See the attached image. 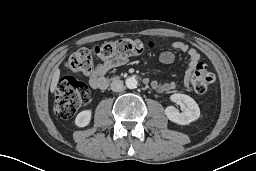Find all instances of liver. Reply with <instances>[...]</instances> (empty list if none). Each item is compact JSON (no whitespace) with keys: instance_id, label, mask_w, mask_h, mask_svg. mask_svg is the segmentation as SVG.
<instances>
[{"instance_id":"obj_1","label":"liver","mask_w":256,"mask_h":171,"mask_svg":"<svg viewBox=\"0 0 256 171\" xmlns=\"http://www.w3.org/2000/svg\"><path fill=\"white\" fill-rule=\"evenodd\" d=\"M60 77V70L58 68L55 69L54 74L52 76V81L50 85V91L53 93L57 87L58 81Z\"/></svg>"}]
</instances>
